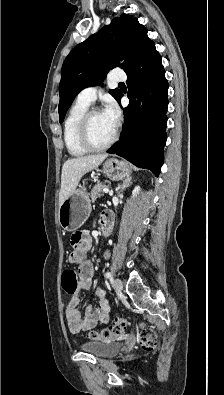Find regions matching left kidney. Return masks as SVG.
<instances>
[{"label":"left kidney","mask_w":224,"mask_h":395,"mask_svg":"<svg viewBox=\"0 0 224 395\" xmlns=\"http://www.w3.org/2000/svg\"><path fill=\"white\" fill-rule=\"evenodd\" d=\"M140 187L136 186L132 192L133 196H136L139 193Z\"/></svg>","instance_id":"obj_1"}]
</instances>
